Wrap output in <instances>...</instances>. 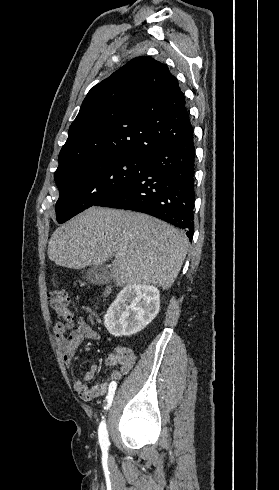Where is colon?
<instances>
[{"label":"colon","mask_w":279,"mask_h":490,"mask_svg":"<svg viewBox=\"0 0 279 490\" xmlns=\"http://www.w3.org/2000/svg\"><path fill=\"white\" fill-rule=\"evenodd\" d=\"M48 301L59 318L68 322L73 320V310L70 305L67 291L63 289L53 290L48 296Z\"/></svg>","instance_id":"1"}]
</instances>
